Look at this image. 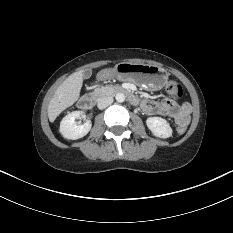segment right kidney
Returning <instances> with one entry per match:
<instances>
[{"label": "right kidney", "mask_w": 233, "mask_h": 233, "mask_svg": "<svg viewBox=\"0 0 233 233\" xmlns=\"http://www.w3.org/2000/svg\"><path fill=\"white\" fill-rule=\"evenodd\" d=\"M82 111H74L66 115L60 123V133L66 139L76 140L84 137L91 129L92 123L86 121L83 125H78L75 119L79 118Z\"/></svg>", "instance_id": "right-kidney-1"}]
</instances>
